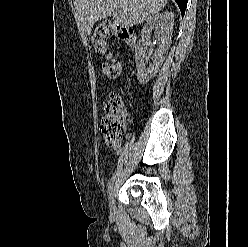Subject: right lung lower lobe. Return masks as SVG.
<instances>
[{
    "label": "right lung lower lobe",
    "instance_id": "98d812e1",
    "mask_svg": "<svg viewBox=\"0 0 248 247\" xmlns=\"http://www.w3.org/2000/svg\"><path fill=\"white\" fill-rule=\"evenodd\" d=\"M176 3L178 4L182 16L185 14L186 6H187V0H175Z\"/></svg>",
    "mask_w": 248,
    "mask_h": 247
}]
</instances>
